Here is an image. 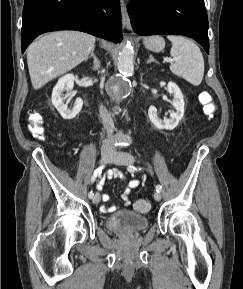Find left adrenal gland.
Segmentation results:
<instances>
[{
    "mask_svg": "<svg viewBox=\"0 0 243 289\" xmlns=\"http://www.w3.org/2000/svg\"><path fill=\"white\" fill-rule=\"evenodd\" d=\"M151 62H157L155 59H154V57H153V55L152 54H150L149 55V59L147 60V63H151Z\"/></svg>",
    "mask_w": 243,
    "mask_h": 289,
    "instance_id": "left-adrenal-gland-1",
    "label": "left adrenal gland"
}]
</instances>
